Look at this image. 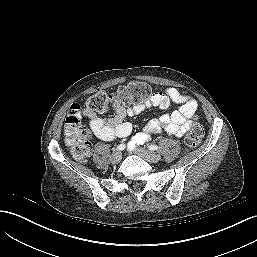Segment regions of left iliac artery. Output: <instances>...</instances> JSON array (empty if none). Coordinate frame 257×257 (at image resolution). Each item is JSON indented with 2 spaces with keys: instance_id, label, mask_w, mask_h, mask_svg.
<instances>
[{
  "instance_id": "obj_1",
  "label": "left iliac artery",
  "mask_w": 257,
  "mask_h": 257,
  "mask_svg": "<svg viewBox=\"0 0 257 257\" xmlns=\"http://www.w3.org/2000/svg\"><path fill=\"white\" fill-rule=\"evenodd\" d=\"M148 148H149V150H151V151H155V150L158 149V146H157V145H150Z\"/></svg>"
}]
</instances>
